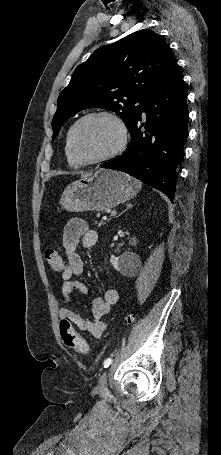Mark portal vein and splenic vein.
I'll return each mask as SVG.
<instances>
[{
	"mask_svg": "<svg viewBox=\"0 0 221 455\" xmlns=\"http://www.w3.org/2000/svg\"><path fill=\"white\" fill-rule=\"evenodd\" d=\"M107 219H108V218H107L106 216H104V217H103V220H105V221H106Z\"/></svg>",
	"mask_w": 221,
	"mask_h": 455,
	"instance_id": "obj_1",
	"label": "portal vein and splenic vein"
}]
</instances>
